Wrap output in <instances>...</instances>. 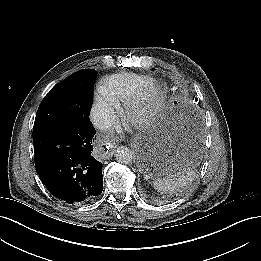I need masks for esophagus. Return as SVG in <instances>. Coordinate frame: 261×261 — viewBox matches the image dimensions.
Returning <instances> with one entry per match:
<instances>
[{
	"instance_id": "obj_1",
	"label": "esophagus",
	"mask_w": 261,
	"mask_h": 261,
	"mask_svg": "<svg viewBox=\"0 0 261 261\" xmlns=\"http://www.w3.org/2000/svg\"><path fill=\"white\" fill-rule=\"evenodd\" d=\"M113 152L112 151H107L106 153L103 154L104 157L109 158L110 156H112Z\"/></svg>"
}]
</instances>
